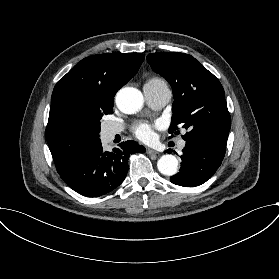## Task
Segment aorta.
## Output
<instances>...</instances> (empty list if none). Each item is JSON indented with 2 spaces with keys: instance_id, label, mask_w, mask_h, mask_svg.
Instances as JSON below:
<instances>
[{
  "instance_id": "obj_1",
  "label": "aorta",
  "mask_w": 279,
  "mask_h": 279,
  "mask_svg": "<svg viewBox=\"0 0 279 279\" xmlns=\"http://www.w3.org/2000/svg\"><path fill=\"white\" fill-rule=\"evenodd\" d=\"M144 103L142 93L132 87H125L116 95V105L120 111L126 114H134L141 110ZM160 173L166 176H173L178 170V160L172 154L163 155L157 162Z\"/></svg>"
}]
</instances>
